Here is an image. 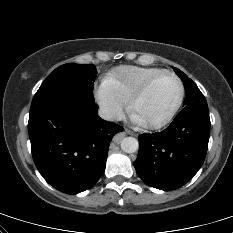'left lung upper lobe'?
I'll use <instances>...</instances> for the list:
<instances>
[{"label": "left lung upper lobe", "instance_id": "obj_1", "mask_svg": "<svg viewBox=\"0 0 233 233\" xmlns=\"http://www.w3.org/2000/svg\"><path fill=\"white\" fill-rule=\"evenodd\" d=\"M173 69L175 73L181 78L185 86V92H186V98L184 101L185 106L193 102L205 99L204 95L201 93V91L196 86V84L190 78H188L186 74H184L182 71H180L175 67Z\"/></svg>", "mask_w": 233, "mask_h": 233}]
</instances>
